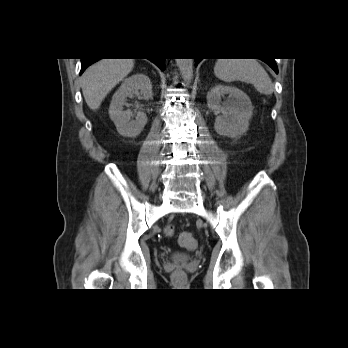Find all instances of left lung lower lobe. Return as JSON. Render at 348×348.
<instances>
[{
	"label": "left lung lower lobe",
	"mask_w": 348,
	"mask_h": 348,
	"mask_svg": "<svg viewBox=\"0 0 348 348\" xmlns=\"http://www.w3.org/2000/svg\"><path fill=\"white\" fill-rule=\"evenodd\" d=\"M201 59L196 58L195 59V66H197V64L200 62ZM264 62H266L271 68H273V70L278 73V68L277 65L274 61V59H269V60H263Z\"/></svg>",
	"instance_id": "1"
}]
</instances>
